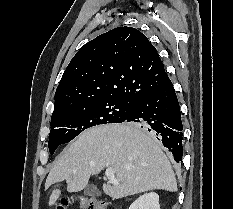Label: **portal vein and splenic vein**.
I'll list each match as a JSON object with an SVG mask.
<instances>
[{
  "mask_svg": "<svg viewBox=\"0 0 233 209\" xmlns=\"http://www.w3.org/2000/svg\"><path fill=\"white\" fill-rule=\"evenodd\" d=\"M106 177L110 180L113 185H118L119 182L115 178V171L113 168H107L105 171Z\"/></svg>",
  "mask_w": 233,
  "mask_h": 209,
  "instance_id": "1",
  "label": "portal vein and splenic vein"
}]
</instances>
